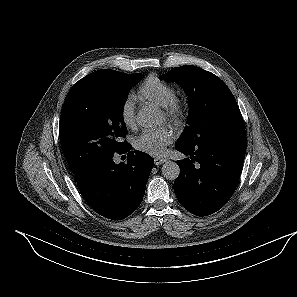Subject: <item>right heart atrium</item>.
I'll list each match as a JSON object with an SVG mask.
<instances>
[{"label":"right heart atrium","mask_w":297,"mask_h":297,"mask_svg":"<svg viewBox=\"0 0 297 297\" xmlns=\"http://www.w3.org/2000/svg\"><path fill=\"white\" fill-rule=\"evenodd\" d=\"M120 119L124 126L133 128L136 125V108L131 96H126L120 105Z\"/></svg>","instance_id":"obj_1"}]
</instances>
